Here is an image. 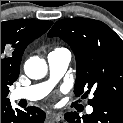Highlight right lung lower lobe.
<instances>
[{
	"mask_svg": "<svg viewBox=\"0 0 123 123\" xmlns=\"http://www.w3.org/2000/svg\"><path fill=\"white\" fill-rule=\"evenodd\" d=\"M45 113L37 107L14 110L8 98L1 99V123H43Z\"/></svg>",
	"mask_w": 123,
	"mask_h": 123,
	"instance_id": "98d812e1",
	"label": "right lung lower lobe"
}]
</instances>
